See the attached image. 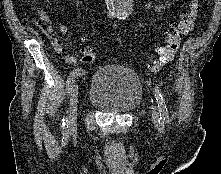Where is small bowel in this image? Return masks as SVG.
Listing matches in <instances>:
<instances>
[{"instance_id": "small-bowel-1", "label": "small bowel", "mask_w": 221, "mask_h": 174, "mask_svg": "<svg viewBox=\"0 0 221 174\" xmlns=\"http://www.w3.org/2000/svg\"><path fill=\"white\" fill-rule=\"evenodd\" d=\"M170 6V3H157V4H146L144 5V8L146 9H152L155 12H161L168 8ZM38 16L43 24L46 25V33L48 37L50 38L51 44L54 48V50L58 53L62 51V46L58 42L56 38L52 36V27L48 25V16L44 11H39ZM57 30L62 34L65 35L67 33V29L64 25H57ZM64 61L68 64H74L77 59L78 55H64L63 56Z\"/></svg>"}]
</instances>
